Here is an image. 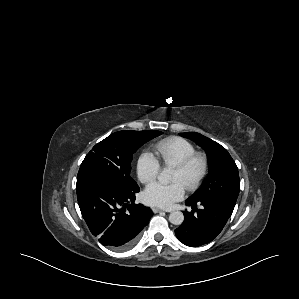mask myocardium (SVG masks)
Returning a JSON list of instances; mask_svg holds the SVG:
<instances>
[{
  "mask_svg": "<svg viewBox=\"0 0 299 299\" xmlns=\"http://www.w3.org/2000/svg\"><path fill=\"white\" fill-rule=\"evenodd\" d=\"M195 164H199V171L197 175L189 181L185 187L188 190H195L197 189L205 177L208 174L209 171V160L206 154L202 152H195L191 154L190 156L186 157L184 160H182L180 163L176 164L174 169L181 173H187Z\"/></svg>",
  "mask_w": 299,
  "mask_h": 299,
  "instance_id": "1",
  "label": "myocardium"
}]
</instances>
